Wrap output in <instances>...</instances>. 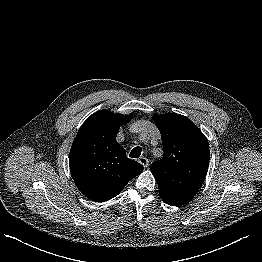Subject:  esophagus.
I'll use <instances>...</instances> for the list:
<instances>
[{"instance_id":"34e87169","label":"esophagus","mask_w":262,"mask_h":262,"mask_svg":"<svg viewBox=\"0 0 262 262\" xmlns=\"http://www.w3.org/2000/svg\"><path fill=\"white\" fill-rule=\"evenodd\" d=\"M139 163H141L144 167H147L149 161H148V159L145 158V157H140V158H139Z\"/></svg>"}]
</instances>
